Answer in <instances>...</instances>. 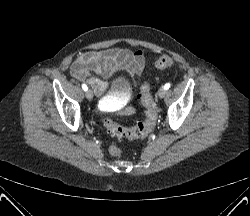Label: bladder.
Wrapping results in <instances>:
<instances>
[{
  "label": "bladder",
  "mask_w": 250,
  "mask_h": 216,
  "mask_svg": "<svg viewBox=\"0 0 250 216\" xmlns=\"http://www.w3.org/2000/svg\"><path fill=\"white\" fill-rule=\"evenodd\" d=\"M130 92L131 86L129 82L123 78H117L112 84L111 95L101 103V107H108L114 99L125 97Z\"/></svg>",
  "instance_id": "31cf9c89"
}]
</instances>
